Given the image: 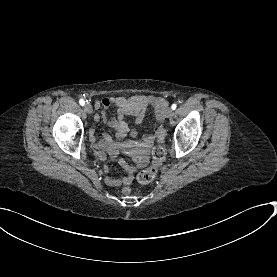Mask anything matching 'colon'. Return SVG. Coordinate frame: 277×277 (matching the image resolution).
I'll list each match as a JSON object with an SVG mask.
<instances>
[{
  "label": "colon",
  "instance_id": "5ec220e1",
  "mask_svg": "<svg viewBox=\"0 0 277 277\" xmlns=\"http://www.w3.org/2000/svg\"><path fill=\"white\" fill-rule=\"evenodd\" d=\"M105 101V100H103ZM157 139L159 142L163 140V131L159 128L157 130ZM164 148L159 145L154 149L153 155H152V164L149 169L142 171L138 175V181L141 184H147L152 182L156 176H157V171L161 167L163 159H164Z\"/></svg>",
  "mask_w": 277,
  "mask_h": 277
}]
</instances>
